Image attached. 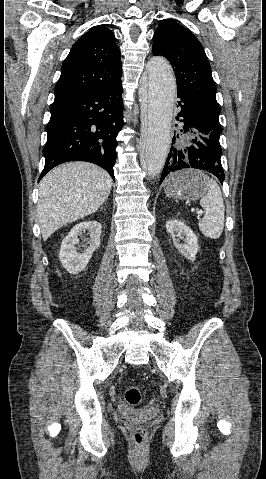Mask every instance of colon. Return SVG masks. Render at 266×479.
Here are the masks:
<instances>
[{"label": "colon", "mask_w": 266, "mask_h": 479, "mask_svg": "<svg viewBox=\"0 0 266 479\" xmlns=\"http://www.w3.org/2000/svg\"><path fill=\"white\" fill-rule=\"evenodd\" d=\"M125 400L129 406L136 407L142 401V393L138 387L130 386L125 392ZM146 439V431L143 427L133 430L132 440L136 445H141Z\"/></svg>", "instance_id": "5ec220e1"}]
</instances>
